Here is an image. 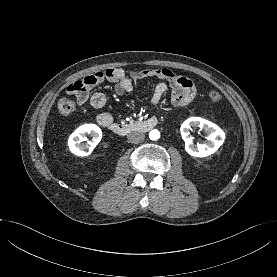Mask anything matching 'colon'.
<instances>
[{
	"label": "colon",
	"instance_id": "5ec220e1",
	"mask_svg": "<svg viewBox=\"0 0 277 277\" xmlns=\"http://www.w3.org/2000/svg\"><path fill=\"white\" fill-rule=\"evenodd\" d=\"M84 89H85V86L83 81L82 80L77 81V84L74 87V90L77 92H80V91H84ZM207 100L210 104L216 105L223 100V95L220 91L211 90L207 93ZM57 108L60 114L69 115L75 110L76 105L72 100L68 98H61L57 103Z\"/></svg>",
	"mask_w": 277,
	"mask_h": 277
}]
</instances>
